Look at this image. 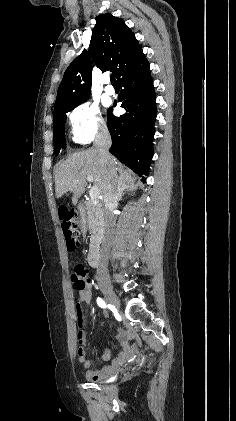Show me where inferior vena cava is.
<instances>
[{
	"label": "inferior vena cava",
	"instance_id": "inferior-vena-cava-1",
	"mask_svg": "<svg viewBox=\"0 0 236 421\" xmlns=\"http://www.w3.org/2000/svg\"><path fill=\"white\" fill-rule=\"evenodd\" d=\"M111 136L107 126H99L97 134L94 140V146H96L103 164H108L111 154L109 148L111 146ZM118 174L116 168L109 166V182L105 186V192L103 194L104 202V237L102 241V249L100 253V263L97 269V273L105 271L108 265V255L106 249H110L113 243V229L115 225V215L113 211H116L119 196L122 192L120 184L117 182Z\"/></svg>",
	"mask_w": 236,
	"mask_h": 421
}]
</instances>
